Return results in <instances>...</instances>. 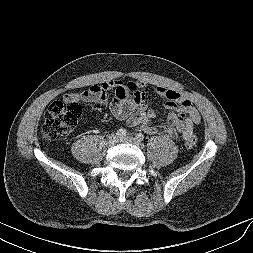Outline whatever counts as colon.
Masks as SVG:
<instances>
[{
	"mask_svg": "<svg viewBox=\"0 0 253 253\" xmlns=\"http://www.w3.org/2000/svg\"><path fill=\"white\" fill-rule=\"evenodd\" d=\"M81 116V105L76 101L58 100L52 103L44 115L41 128L45 140H55L69 134ZM196 145V138L191 136L186 141L189 149Z\"/></svg>",
	"mask_w": 253,
	"mask_h": 253,
	"instance_id": "colon-1",
	"label": "colon"
}]
</instances>
